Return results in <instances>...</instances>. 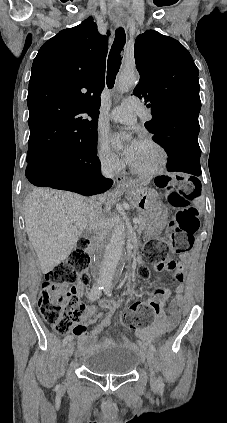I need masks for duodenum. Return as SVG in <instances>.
Instances as JSON below:
<instances>
[{"instance_id": "duodenum-1", "label": "duodenum", "mask_w": 227, "mask_h": 423, "mask_svg": "<svg viewBox=\"0 0 227 423\" xmlns=\"http://www.w3.org/2000/svg\"><path fill=\"white\" fill-rule=\"evenodd\" d=\"M128 251H129V254L132 256V258H134V256H135L134 249L132 247H130L128 249Z\"/></svg>"}]
</instances>
